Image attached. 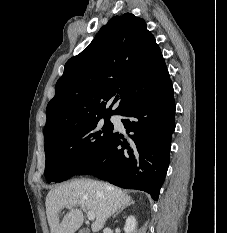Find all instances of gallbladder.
Masks as SVG:
<instances>
[{
	"mask_svg": "<svg viewBox=\"0 0 227 233\" xmlns=\"http://www.w3.org/2000/svg\"><path fill=\"white\" fill-rule=\"evenodd\" d=\"M78 233H87L86 230L82 229Z\"/></svg>",
	"mask_w": 227,
	"mask_h": 233,
	"instance_id": "gallbladder-1",
	"label": "gallbladder"
}]
</instances>
